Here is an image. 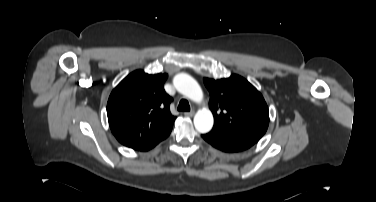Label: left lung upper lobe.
Masks as SVG:
<instances>
[{
	"label": "left lung upper lobe",
	"mask_w": 376,
	"mask_h": 202,
	"mask_svg": "<svg viewBox=\"0 0 376 202\" xmlns=\"http://www.w3.org/2000/svg\"><path fill=\"white\" fill-rule=\"evenodd\" d=\"M204 83L210 93L214 127L259 141L269 124L268 107L261 93L239 75L220 80L205 78Z\"/></svg>",
	"instance_id": "obj_1"
}]
</instances>
